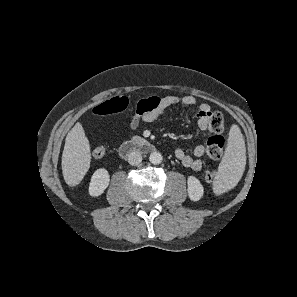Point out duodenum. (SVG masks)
Here are the masks:
<instances>
[{"mask_svg": "<svg viewBox=\"0 0 297 297\" xmlns=\"http://www.w3.org/2000/svg\"><path fill=\"white\" fill-rule=\"evenodd\" d=\"M153 145L143 138H136L128 140L119 147V154L121 157L127 159L134 153H148L153 151Z\"/></svg>", "mask_w": 297, "mask_h": 297, "instance_id": "410a0bca", "label": "duodenum"}]
</instances>
